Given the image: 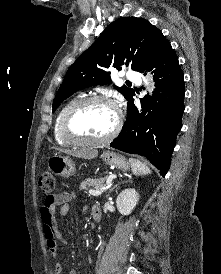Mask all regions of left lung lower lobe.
<instances>
[{
    "instance_id": "1",
    "label": "left lung lower lobe",
    "mask_w": 221,
    "mask_h": 274,
    "mask_svg": "<svg viewBox=\"0 0 221 274\" xmlns=\"http://www.w3.org/2000/svg\"><path fill=\"white\" fill-rule=\"evenodd\" d=\"M145 69L154 73L156 89L153 96L141 99V109L134 105L133 96L128 100L126 122L110 146L145 156L164 177L170 167L176 136L182 127L184 77L170 42Z\"/></svg>"
}]
</instances>
